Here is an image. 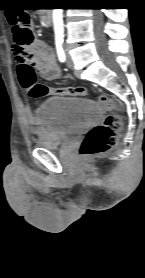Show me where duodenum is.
Segmentation results:
<instances>
[{"instance_id":"obj_1","label":"duodenum","mask_w":145,"mask_h":278,"mask_svg":"<svg viewBox=\"0 0 145 278\" xmlns=\"http://www.w3.org/2000/svg\"><path fill=\"white\" fill-rule=\"evenodd\" d=\"M43 21L45 24H51V15L49 12H47L44 16H43Z\"/></svg>"}]
</instances>
